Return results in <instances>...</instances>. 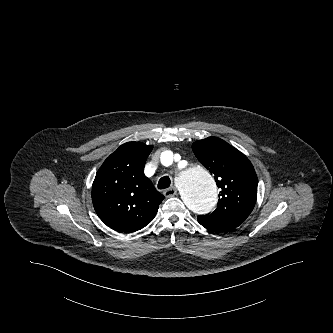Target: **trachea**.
Instances as JSON below:
<instances>
[{"label":"trachea","instance_id":"3493384b","mask_svg":"<svg viewBox=\"0 0 333 333\" xmlns=\"http://www.w3.org/2000/svg\"><path fill=\"white\" fill-rule=\"evenodd\" d=\"M171 184V180L168 176L162 177L158 182V188L159 189H165L168 188Z\"/></svg>","mask_w":333,"mask_h":333}]
</instances>
